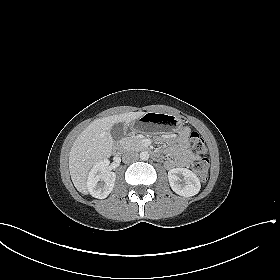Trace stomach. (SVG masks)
Returning a JSON list of instances; mask_svg holds the SVG:
<instances>
[{
    "label": "stomach",
    "instance_id": "stomach-1",
    "mask_svg": "<svg viewBox=\"0 0 280 280\" xmlns=\"http://www.w3.org/2000/svg\"><path fill=\"white\" fill-rule=\"evenodd\" d=\"M183 126V121L167 113H145L130 124L131 133L140 132L150 128L160 129L166 133L179 131Z\"/></svg>",
    "mask_w": 280,
    "mask_h": 280
}]
</instances>
